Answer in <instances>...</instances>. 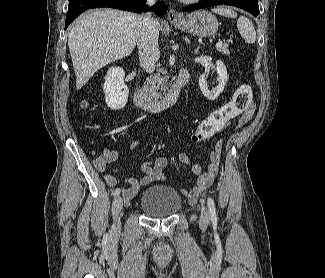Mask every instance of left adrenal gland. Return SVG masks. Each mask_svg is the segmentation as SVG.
Segmentation results:
<instances>
[{
	"label": "left adrenal gland",
	"mask_w": 325,
	"mask_h": 278,
	"mask_svg": "<svg viewBox=\"0 0 325 278\" xmlns=\"http://www.w3.org/2000/svg\"><path fill=\"white\" fill-rule=\"evenodd\" d=\"M199 50V47L195 49L194 54H197Z\"/></svg>",
	"instance_id": "left-adrenal-gland-1"
}]
</instances>
